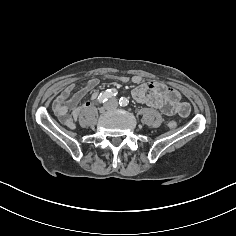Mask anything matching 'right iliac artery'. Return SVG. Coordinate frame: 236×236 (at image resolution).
<instances>
[{
    "label": "right iliac artery",
    "instance_id": "1",
    "mask_svg": "<svg viewBox=\"0 0 236 236\" xmlns=\"http://www.w3.org/2000/svg\"><path fill=\"white\" fill-rule=\"evenodd\" d=\"M116 95H117L116 89H107L106 91L100 93V95L98 96V101L99 103H104L105 101Z\"/></svg>",
    "mask_w": 236,
    "mask_h": 236
}]
</instances>
